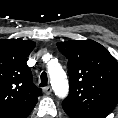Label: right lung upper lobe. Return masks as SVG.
Listing matches in <instances>:
<instances>
[{"mask_svg": "<svg viewBox=\"0 0 118 118\" xmlns=\"http://www.w3.org/2000/svg\"><path fill=\"white\" fill-rule=\"evenodd\" d=\"M34 47L33 41L0 40V118H26L42 95L26 63Z\"/></svg>", "mask_w": 118, "mask_h": 118, "instance_id": "1", "label": "right lung upper lobe"}]
</instances>
